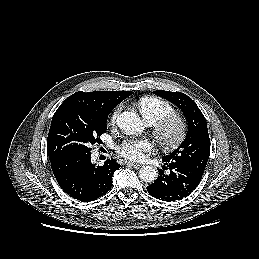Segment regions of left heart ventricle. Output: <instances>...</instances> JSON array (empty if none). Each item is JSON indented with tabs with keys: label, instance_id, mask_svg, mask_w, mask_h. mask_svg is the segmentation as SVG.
<instances>
[{
	"label": "left heart ventricle",
	"instance_id": "obj_1",
	"mask_svg": "<svg viewBox=\"0 0 259 259\" xmlns=\"http://www.w3.org/2000/svg\"><path fill=\"white\" fill-rule=\"evenodd\" d=\"M174 132V129H171V133H173Z\"/></svg>",
	"mask_w": 259,
	"mask_h": 259
}]
</instances>
